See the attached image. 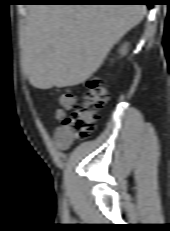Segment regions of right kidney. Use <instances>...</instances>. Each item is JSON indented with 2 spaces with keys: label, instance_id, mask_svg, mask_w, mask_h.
Listing matches in <instances>:
<instances>
[{
  "label": "right kidney",
  "instance_id": "right-kidney-1",
  "mask_svg": "<svg viewBox=\"0 0 170 231\" xmlns=\"http://www.w3.org/2000/svg\"><path fill=\"white\" fill-rule=\"evenodd\" d=\"M128 52V44L125 43L121 48H120V53L121 55H126Z\"/></svg>",
  "mask_w": 170,
  "mask_h": 231
}]
</instances>
